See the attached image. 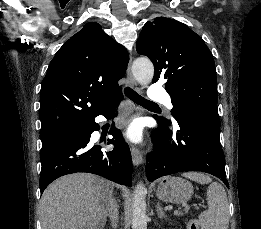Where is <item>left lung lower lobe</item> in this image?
Segmentation results:
<instances>
[{"label":"left lung lower lobe","instance_id":"1","mask_svg":"<svg viewBox=\"0 0 261 229\" xmlns=\"http://www.w3.org/2000/svg\"><path fill=\"white\" fill-rule=\"evenodd\" d=\"M152 133L154 151L146 162L148 181L183 171H203L225 178V157L220 144L219 117L201 110H187L171 129L161 117ZM223 182L229 187L228 181Z\"/></svg>","mask_w":261,"mask_h":229}]
</instances>
